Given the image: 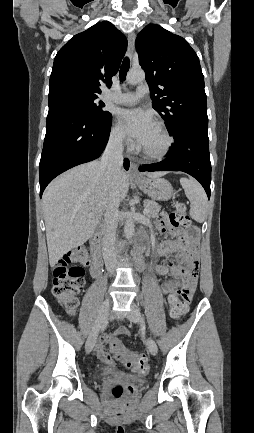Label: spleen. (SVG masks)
Masks as SVG:
<instances>
[{
	"label": "spleen",
	"instance_id": "1",
	"mask_svg": "<svg viewBox=\"0 0 254 433\" xmlns=\"http://www.w3.org/2000/svg\"><path fill=\"white\" fill-rule=\"evenodd\" d=\"M186 197L190 201V216L197 222L202 223L207 217V196L204 189L194 180L181 178Z\"/></svg>",
	"mask_w": 254,
	"mask_h": 433
}]
</instances>
